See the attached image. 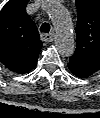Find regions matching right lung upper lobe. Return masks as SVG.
Returning a JSON list of instances; mask_svg holds the SVG:
<instances>
[{
    "mask_svg": "<svg viewBox=\"0 0 100 118\" xmlns=\"http://www.w3.org/2000/svg\"><path fill=\"white\" fill-rule=\"evenodd\" d=\"M29 0H10L0 12V61L23 74L35 67L42 42L26 13Z\"/></svg>",
    "mask_w": 100,
    "mask_h": 118,
    "instance_id": "obj_1",
    "label": "right lung upper lobe"
}]
</instances>
